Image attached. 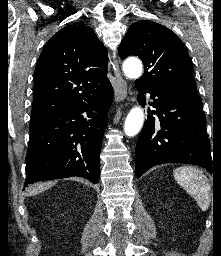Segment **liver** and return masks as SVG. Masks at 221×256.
Listing matches in <instances>:
<instances>
[{
  "label": "liver",
  "instance_id": "liver-1",
  "mask_svg": "<svg viewBox=\"0 0 221 256\" xmlns=\"http://www.w3.org/2000/svg\"><path fill=\"white\" fill-rule=\"evenodd\" d=\"M54 184H56V181H49V182H46V183L32 185L26 190V194L28 196L36 195V194H38V193H40V192H42L46 189H49Z\"/></svg>",
  "mask_w": 221,
  "mask_h": 256
}]
</instances>
